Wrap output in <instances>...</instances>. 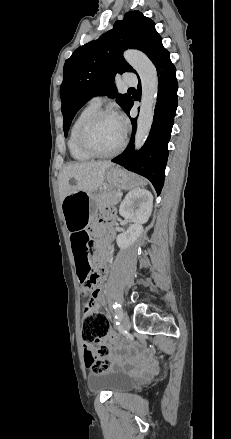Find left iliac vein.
I'll use <instances>...</instances> for the list:
<instances>
[{"label": "left iliac vein", "mask_w": 231, "mask_h": 439, "mask_svg": "<svg viewBox=\"0 0 231 439\" xmlns=\"http://www.w3.org/2000/svg\"><path fill=\"white\" fill-rule=\"evenodd\" d=\"M120 315H121V325L122 328L125 330H129L130 328V321H129V317L127 315V313L124 310H120Z\"/></svg>", "instance_id": "obj_1"}]
</instances>
